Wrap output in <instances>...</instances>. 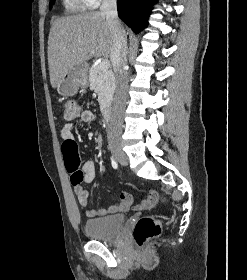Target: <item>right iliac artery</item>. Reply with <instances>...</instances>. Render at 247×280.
Wrapping results in <instances>:
<instances>
[{"mask_svg": "<svg viewBox=\"0 0 247 280\" xmlns=\"http://www.w3.org/2000/svg\"><path fill=\"white\" fill-rule=\"evenodd\" d=\"M111 163H112L113 168H114V169H117L118 164H117V162L114 160L113 157H111Z\"/></svg>", "mask_w": 247, "mask_h": 280, "instance_id": "right-iliac-artery-1", "label": "right iliac artery"}]
</instances>
